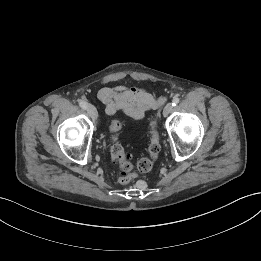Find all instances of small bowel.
Instances as JSON below:
<instances>
[{"mask_svg": "<svg viewBox=\"0 0 261 261\" xmlns=\"http://www.w3.org/2000/svg\"><path fill=\"white\" fill-rule=\"evenodd\" d=\"M98 98L105 105L108 115L122 111L134 120L142 119L145 112L154 105V99L149 93L125 85L104 87L99 90Z\"/></svg>", "mask_w": 261, "mask_h": 261, "instance_id": "c3829d8e", "label": "small bowel"}]
</instances>
